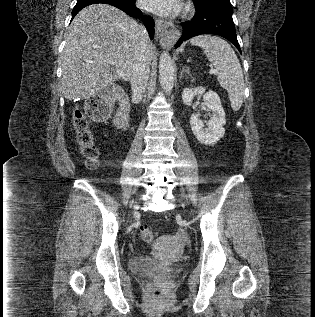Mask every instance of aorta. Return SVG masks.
<instances>
[{"mask_svg": "<svg viewBox=\"0 0 315 317\" xmlns=\"http://www.w3.org/2000/svg\"><path fill=\"white\" fill-rule=\"evenodd\" d=\"M159 79L166 93L172 91L174 85V66L170 55L163 52L159 59Z\"/></svg>", "mask_w": 315, "mask_h": 317, "instance_id": "762f6f07", "label": "aorta"}]
</instances>
